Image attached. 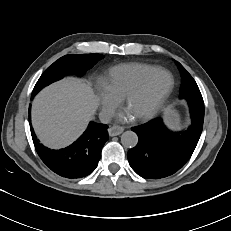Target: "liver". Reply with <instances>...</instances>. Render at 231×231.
Wrapping results in <instances>:
<instances>
[{
	"mask_svg": "<svg viewBox=\"0 0 231 231\" xmlns=\"http://www.w3.org/2000/svg\"><path fill=\"white\" fill-rule=\"evenodd\" d=\"M97 104L90 84L73 77L56 82L33 100L35 132L47 147H66L85 130Z\"/></svg>",
	"mask_w": 231,
	"mask_h": 231,
	"instance_id": "1",
	"label": "liver"
}]
</instances>
